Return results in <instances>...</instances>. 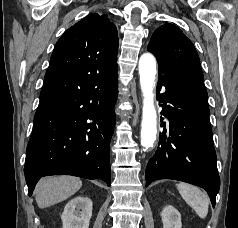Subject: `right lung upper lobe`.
Masks as SVG:
<instances>
[{
    "mask_svg": "<svg viewBox=\"0 0 238 228\" xmlns=\"http://www.w3.org/2000/svg\"><path fill=\"white\" fill-rule=\"evenodd\" d=\"M118 34L106 14L70 27L53 50L39 105L102 87L117 78Z\"/></svg>",
    "mask_w": 238,
    "mask_h": 228,
    "instance_id": "right-lung-upper-lobe-1",
    "label": "right lung upper lobe"
}]
</instances>
